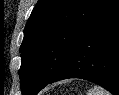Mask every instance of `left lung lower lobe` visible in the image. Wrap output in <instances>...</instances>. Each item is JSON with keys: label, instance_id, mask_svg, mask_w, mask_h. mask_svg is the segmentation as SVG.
I'll use <instances>...</instances> for the list:
<instances>
[{"label": "left lung lower lobe", "instance_id": "obj_1", "mask_svg": "<svg viewBox=\"0 0 119 95\" xmlns=\"http://www.w3.org/2000/svg\"><path fill=\"white\" fill-rule=\"evenodd\" d=\"M68 78L92 81L119 95V0L82 36L64 67L46 85Z\"/></svg>", "mask_w": 119, "mask_h": 95}]
</instances>
